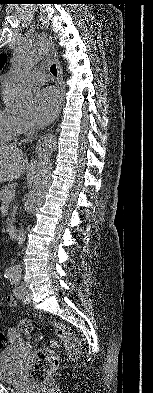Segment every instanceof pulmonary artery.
<instances>
[{
    "mask_svg": "<svg viewBox=\"0 0 153 393\" xmlns=\"http://www.w3.org/2000/svg\"><path fill=\"white\" fill-rule=\"evenodd\" d=\"M29 79L35 84H42L46 82V75L40 72H33L29 76Z\"/></svg>",
    "mask_w": 153,
    "mask_h": 393,
    "instance_id": "1",
    "label": "pulmonary artery"
}]
</instances>
